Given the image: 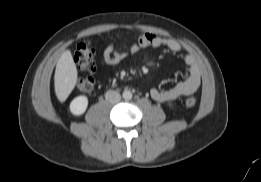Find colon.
<instances>
[{"instance_id": "1", "label": "colon", "mask_w": 261, "mask_h": 182, "mask_svg": "<svg viewBox=\"0 0 261 182\" xmlns=\"http://www.w3.org/2000/svg\"><path fill=\"white\" fill-rule=\"evenodd\" d=\"M93 56L94 51L89 43L84 42L78 45L74 59L77 65L87 73L77 81V87L83 93H92L94 91V78L92 73L95 69V64ZM196 102L197 100L193 96L185 100V104L188 107H193Z\"/></svg>"}]
</instances>
